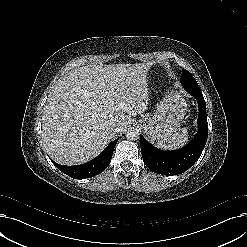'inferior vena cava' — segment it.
<instances>
[{"mask_svg": "<svg viewBox=\"0 0 247 247\" xmlns=\"http://www.w3.org/2000/svg\"><path fill=\"white\" fill-rule=\"evenodd\" d=\"M107 129L109 132L116 134L119 131V125L116 123H112L108 126Z\"/></svg>", "mask_w": 247, "mask_h": 247, "instance_id": "602c4592", "label": "inferior vena cava"}]
</instances>
